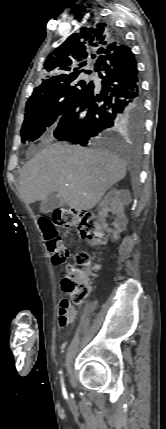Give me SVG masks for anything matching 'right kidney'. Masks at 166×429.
Instances as JSON below:
<instances>
[{
    "label": "right kidney",
    "instance_id": "obj_1",
    "mask_svg": "<svg viewBox=\"0 0 166 429\" xmlns=\"http://www.w3.org/2000/svg\"><path fill=\"white\" fill-rule=\"evenodd\" d=\"M131 201L130 192L128 190H118L112 188L103 200L98 205L99 219L105 230L112 234V238L117 240L119 234L125 229L127 225V218L124 214V205L129 204ZM108 212H112L116 215L114 222V229L108 228L106 217Z\"/></svg>",
    "mask_w": 166,
    "mask_h": 429
}]
</instances>
